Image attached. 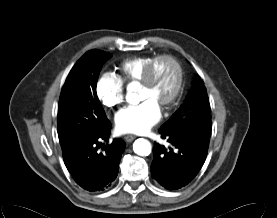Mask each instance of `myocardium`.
Listing matches in <instances>:
<instances>
[{
	"label": "myocardium",
	"mask_w": 277,
	"mask_h": 218,
	"mask_svg": "<svg viewBox=\"0 0 277 218\" xmlns=\"http://www.w3.org/2000/svg\"><path fill=\"white\" fill-rule=\"evenodd\" d=\"M160 61H167L168 63H170L174 67L176 72L175 82L173 84L172 89L159 103L161 106H168L172 102H174L179 96L183 86V81H184L183 67L180 61L175 56L170 54H162L153 58V60L150 62V64L148 65L145 71L144 77L141 80V84L144 87H149L152 85L154 81V72L158 62Z\"/></svg>",
	"instance_id": "f54148a6"
}]
</instances>
